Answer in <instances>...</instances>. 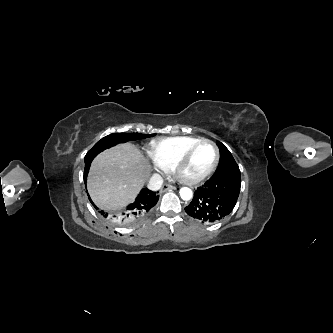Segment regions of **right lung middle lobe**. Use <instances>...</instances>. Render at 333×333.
<instances>
[{
  "instance_id": "obj_1",
  "label": "right lung middle lobe",
  "mask_w": 333,
  "mask_h": 333,
  "mask_svg": "<svg viewBox=\"0 0 333 333\" xmlns=\"http://www.w3.org/2000/svg\"><path fill=\"white\" fill-rule=\"evenodd\" d=\"M149 134L141 133H113L98 141L93 148L88 152L90 155H97L103 150L110 148L118 143L127 142L130 140H137L140 138L150 137Z\"/></svg>"
}]
</instances>
